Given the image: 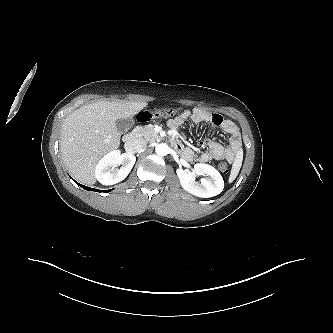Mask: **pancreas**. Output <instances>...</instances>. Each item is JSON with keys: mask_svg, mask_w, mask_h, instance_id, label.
Listing matches in <instances>:
<instances>
[{"mask_svg": "<svg viewBox=\"0 0 333 333\" xmlns=\"http://www.w3.org/2000/svg\"><path fill=\"white\" fill-rule=\"evenodd\" d=\"M133 133L135 137L143 139L147 142L155 141L159 137L158 134L154 131V127L152 125H146L144 127L138 126L133 130Z\"/></svg>", "mask_w": 333, "mask_h": 333, "instance_id": "cf45deb5", "label": "pancreas"}]
</instances>
